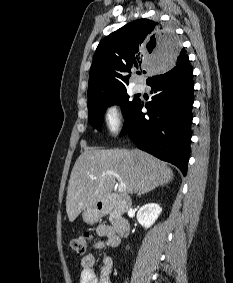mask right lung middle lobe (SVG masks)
<instances>
[{
  "mask_svg": "<svg viewBox=\"0 0 233 283\" xmlns=\"http://www.w3.org/2000/svg\"><path fill=\"white\" fill-rule=\"evenodd\" d=\"M137 102L138 99L129 101V95L127 94L126 90L111 95L102 102L88 107L90 124L93 125L94 128L101 130V123L105 110L107 109V107L115 104H121L122 113L124 118L126 119Z\"/></svg>",
  "mask_w": 233,
  "mask_h": 283,
  "instance_id": "1",
  "label": "right lung middle lobe"
}]
</instances>
